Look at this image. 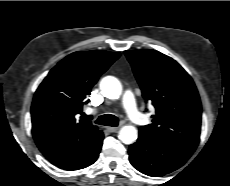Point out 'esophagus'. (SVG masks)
I'll use <instances>...</instances> for the list:
<instances>
[{"instance_id": "1", "label": "esophagus", "mask_w": 230, "mask_h": 186, "mask_svg": "<svg viewBox=\"0 0 230 186\" xmlns=\"http://www.w3.org/2000/svg\"><path fill=\"white\" fill-rule=\"evenodd\" d=\"M120 129V127H107V130L111 133L117 132Z\"/></svg>"}]
</instances>
